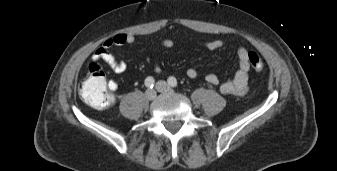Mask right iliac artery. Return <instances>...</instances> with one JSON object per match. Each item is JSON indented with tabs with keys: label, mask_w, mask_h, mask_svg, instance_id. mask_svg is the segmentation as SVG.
<instances>
[{
	"label": "right iliac artery",
	"mask_w": 337,
	"mask_h": 171,
	"mask_svg": "<svg viewBox=\"0 0 337 171\" xmlns=\"http://www.w3.org/2000/svg\"><path fill=\"white\" fill-rule=\"evenodd\" d=\"M154 83H155V81H154L153 77H147L145 79V86L148 87V88H153Z\"/></svg>",
	"instance_id": "right-iliac-artery-1"
}]
</instances>
